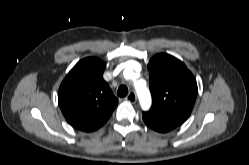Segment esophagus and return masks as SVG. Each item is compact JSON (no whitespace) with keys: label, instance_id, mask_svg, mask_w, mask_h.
<instances>
[{"label":"esophagus","instance_id":"obj_1","mask_svg":"<svg viewBox=\"0 0 249 165\" xmlns=\"http://www.w3.org/2000/svg\"><path fill=\"white\" fill-rule=\"evenodd\" d=\"M126 100L131 102V103H135L137 101V95L134 91H131L127 97H126Z\"/></svg>","mask_w":249,"mask_h":165}]
</instances>
